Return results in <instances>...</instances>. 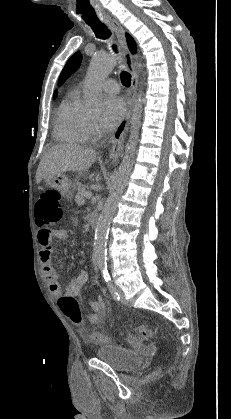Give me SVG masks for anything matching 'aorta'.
<instances>
[{"mask_svg": "<svg viewBox=\"0 0 231 419\" xmlns=\"http://www.w3.org/2000/svg\"><path fill=\"white\" fill-rule=\"evenodd\" d=\"M115 65L116 60L111 55L96 54L92 58L84 86L85 105L90 111H98L100 109L102 102L99 96V83L110 74ZM142 108L143 98L142 94L139 93L132 110L130 135L126 144L125 155L115 175L113 189L98 218L95 230L94 260L96 265L102 268L106 267V245L110 223L132 170L141 126Z\"/></svg>", "mask_w": 231, "mask_h": 419, "instance_id": "aorta-1", "label": "aorta"}]
</instances>
